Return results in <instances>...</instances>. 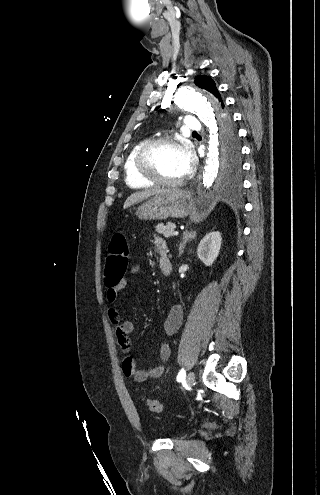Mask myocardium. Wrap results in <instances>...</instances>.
Returning a JSON list of instances; mask_svg holds the SVG:
<instances>
[{
  "label": "myocardium",
  "mask_w": 320,
  "mask_h": 495,
  "mask_svg": "<svg viewBox=\"0 0 320 495\" xmlns=\"http://www.w3.org/2000/svg\"><path fill=\"white\" fill-rule=\"evenodd\" d=\"M172 145L182 148L184 151H189V147L183 139L173 136H163L147 141L138 151L135 159V168L139 176L162 186H177L185 180V176L177 180H169L160 177L153 169L150 157L152 153L159 147Z\"/></svg>",
  "instance_id": "1"
}]
</instances>
